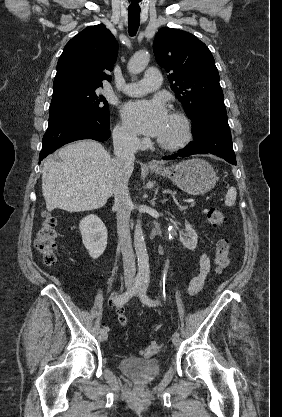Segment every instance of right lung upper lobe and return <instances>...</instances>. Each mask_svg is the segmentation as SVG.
Segmentation results:
<instances>
[{"label":"right lung upper lobe","instance_id":"cb5924a9","mask_svg":"<svg viewBox=\"0 0 282 417\" xmlns=\"http://www.w3.org/2000/svg\"><path fill=\"white\" fill-rule=\"evenodd\" d=\"M117 53L118 43L103 24L85 28L64 47L57 63L53 93L102 87L104 80L111 81L105 72L113 70Z\"/></svg>","mask_w":282,"mask_h":417}]
</instances>
